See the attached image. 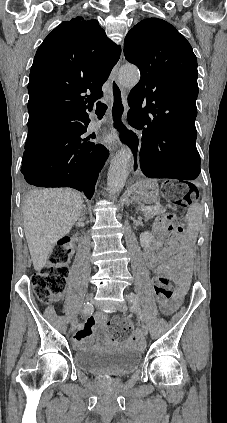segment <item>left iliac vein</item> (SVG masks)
Wrapping results in <instances>:
<instances>
[{
  "label": "left iliac vein",
  "instance_id": "obj_1",
  "mask_svg": "<svg viewBox=\"0 0 227 423\" xmlns=\"http://www.w3.org/2000/svg\"><path fill=\"white\" fill-rule=\"evenodd\" d=\"M119 308H120L121 311H127V309H128L127 303L122 302ZM141 330H142L143 336H146L148 334V327L145 324L141 325Z\"/></svg>",
  "mask_w": 227,
  "mask_h": 423
}]
</instances>
